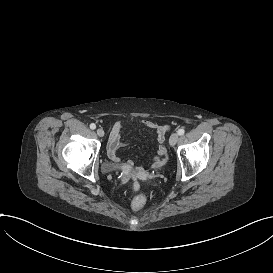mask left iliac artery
Returning <instances> with one entry per match:
<instances>
[{"instance_id":"left-iliac-artery-1","label":"left iliac artery","mask_w":273,"mask_h":273,"mask_svg":"<svg viewBox=\"0 0 273 273\" xmlns=\"http://www.w3.org/2000/svg\"><path fill=\"white\" fill-rule=\"evenodd\" d=\"M178 135H183L185 133V130L183 128L178 130Z\"/></svg>"}]
</instances>
